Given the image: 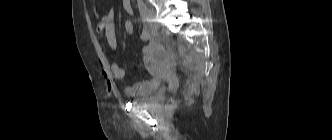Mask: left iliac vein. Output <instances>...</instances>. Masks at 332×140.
I'll return each instance as SVG.
<instances>
[{
  "mask_svg": "<svg viewBox=\"0 0 332 140\" xmlns=\"http://www.w3.org/2000/svg\"><path fill=\"white\" fill-rule=\"evenodd\" d=\"M145 20L147 21L151 30H153V31L158 30L159 25L155 20V12H154L153 8L146 7Z\"/></svg>",
  "mask_w": 332,
  "mask_h": 140,
  "instance_id": "obj_1",
  "label": "left iliac vein"
}]
</instances>
